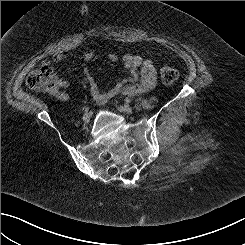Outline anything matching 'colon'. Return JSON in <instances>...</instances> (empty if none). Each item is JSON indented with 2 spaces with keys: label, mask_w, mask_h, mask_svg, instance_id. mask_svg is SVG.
Returning <instances> with one entry per match:
<instances>
[{
  "label": "colon",
  "mask_w": 245,
  "mask_h": 245,
  "mask_svg": "<svg viewBox=\"0 0 245 245\" xmlns=\"http://www.w3.org/2000/svg\"><path fill=\"white\" fill-rule=\"evenodd\" d=\"M178 71L172 67L161 69L160 78L163 84L172 85L178 79ZM26 85L29 89L38 92L55 95L56 75L50 64H43L38 69L32 71L26 79Z\"/></svg>",
  "instance_id": "5ec220e1"
}]
</instances>
